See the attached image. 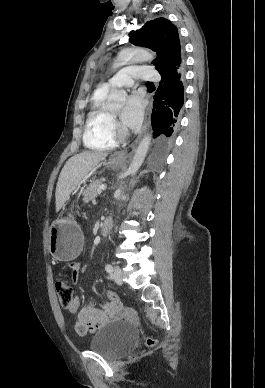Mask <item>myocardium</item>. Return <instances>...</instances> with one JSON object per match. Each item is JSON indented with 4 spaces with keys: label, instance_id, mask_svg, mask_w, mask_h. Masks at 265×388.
Instances as JSON below:
<instances>
[{
    "label": "myocardium",
    "instance_id": "obj_1",
    "mask_svg": "<svg viewBox=\"0 0 265 388\" xmlns=\"http://www.w3.org/2000/svg\"><path fill=\"white\" fill-rule=\"evenodd\" d=\"M115 85L116 84L113 82V84L111 85L112 86L111 88L109 86H106V88L99 89L98 91H108V92H110V91H112V89L114 88ZM111 120H112V122H115L116 121V116L115 115L111 116ZM124 133H125V131L120 127L119 134L123 135Z\"/></svg>",
    "mask_w": 265,
    "mask_h": 388
}]
</instances>
